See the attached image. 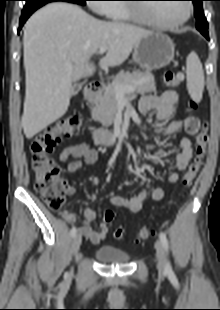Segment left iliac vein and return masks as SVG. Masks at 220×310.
Segmentation results:
<instances>
[{
    "label": "left iliac vein",
    "mask_w": 220,
    "mask_h": 310,
    "mask_svg": "<svg viewBox=\"0 0 220 310\" xmlns=\"http://www.w3.org/2000/svg\"><path fill=\"white\" fill-rule=\"evenodd\" d=\"M155 249H156L157 268L159 271L163 272L166 269V258L164 249L160 241H157L155 243Z\"/></svg>",
    "instance_id": "obj_1"
}]
</instances>
